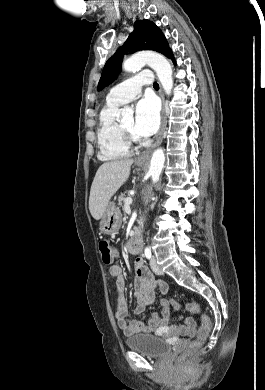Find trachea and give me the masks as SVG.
I'll return each mask as SVG.
<instances>
[{
    "label": "trachea",
    "instance_id": "obj_1",
    "mask_svg": "<svg viewBox=\"0 0 265 390\" xmlns=\"http://www.w3.org/2000/svg\"><path fill=\"white\" fill-rule=\"evenodd\" d=\"M153 87H154V88H159V84H158L157 82H154V83H153Z\"/></svg>",
    "mask_w": 265,
    "mask_h": 390
}]
</instances>
